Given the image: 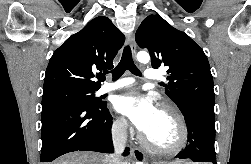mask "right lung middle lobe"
Instances as JSON below:
<instances>
[{"mask_svg": "<svg viewBox=\"0 0 251 164\" xmlns=\"http://www.w3.org/2000/svg\"><path fill=\"white\" fill-rule=\"evenodd\" d=\"M97 90L75 87H60L43 92L42 106L54 103H72L87 106H98L99 101L94 93Z\"/></svg>", "mask_w": 251, "mask_h": 164, "instance_id": "1", "label": "right lung middle lobe"}]
</instances>
